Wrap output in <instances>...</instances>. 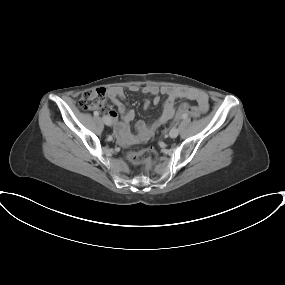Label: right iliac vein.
<instances>
[{
	"mask_svg": "<svg viewBox=\"0 0 285 285\" xmlns=\"http://www.w3.org/2000/svg\"><path fill=\"white\" fill-rule=\"evenodd\" d=\"M103 122L107 125V126H111L112 125V120L108 117V116H103Z\"/></svg>",
	"mask_w": 285,
	"mask_h": 285,
	"instance_id": "63e3f726",
	"label": "right iliac vein"
}]
</instances>
